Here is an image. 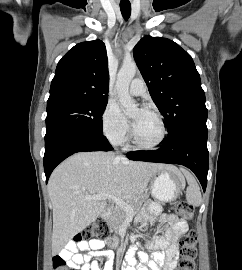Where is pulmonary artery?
I'll list each match as a JSON object with an SVG mask.
<instances>
[{
  "mask_svg": "<svg viewBox=\"0 0 242 270\" xmlns=\"http://www.w3.org/2000/svg\"><path fill=\"white\" fill-rule=\"evenodd\" d=\"M129 92L133 96L143 95L146 92L145 82L139 78L133 79L129 87Z\"/></svg>",
  "mask_w": 242,
  "mask_h": 270,
  "instance_id": "pulmonary-artery-1",
  "label": "pulmonary artery"
}]
</instances>
